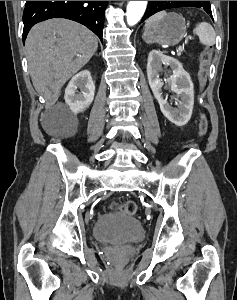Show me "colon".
I'll return each mask as SVG.
<instances>
[{
  "instance_id": "obj_1",
  "label": "colon",
  "mask_w": 237,
  "mask_h": 300,
  "mask_svg": "<svg viewBox=\"0 0 237 300\" xmlns=\"http://www.w3.org/2000/svg\"><path fill=\"white\" fill-rule=\"evenodd\" d=\"M211 52L209 49L204 50L199 57V72H198V81L200 87H203L206 82V77L208 73L209 61H210ZM208 122L205 114L200 113L199 119V135L204 136L207 132ZM111 210L119 209L122 213L128 216H134L137 213L138 207L137 204L132 201H126L123 204H118L117 202H112L110 205Z\"/></svg>"
}]
</instances>
